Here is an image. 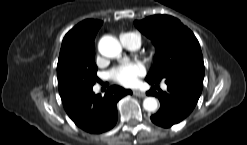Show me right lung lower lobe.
Masks as SVG:
<instances>
[{"label": "right lung lower lobe", "mask_w": 247, "mask_h": 145, "mask_svg": "<svg viewBox=\"0 0 247 145\" xmlns=\"http://www.w3.org/2000/svg\"><path fill=\"white\" fill-rule=\"evenodd\" d=\"M131 90L112 86L104 96L95 95L92 87L79 89L63 98L65 111L72 121L89 133L110 130L117 122V102Z\"/></svg>", "instance_id": "1"}]
</instances>
